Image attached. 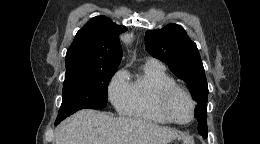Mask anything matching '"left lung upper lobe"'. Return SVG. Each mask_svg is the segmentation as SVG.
I'll use <instances>...</instances> for the list:
<instances>
[{
    "mask_svg": "<svg viewBox=\"0 0 260 144\" xmlns=\"http://www.w3.org/2000/svg\"><path fill=\"white\" fill-rule=\"evenodd\" d=\"M145 44L152 57L166 63L173 74L188 84L193 98L197 101L195 112L199 122V134L207 138L208 85L196 44L188 37L183 27L172 23L162 29L147 31Z\"/></svg>",
    "mask_w": 260,
    "mask_h": 144,
    "instance_id": "left-lung-upper-lobe-1",
    "label": "left lung upper lobe"
}]
</instances>
